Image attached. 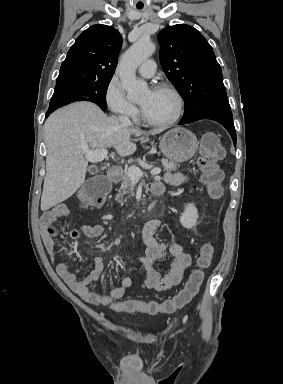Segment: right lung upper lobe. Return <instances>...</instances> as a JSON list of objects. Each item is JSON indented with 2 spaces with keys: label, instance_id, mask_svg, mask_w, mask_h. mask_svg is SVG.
<instances>
[{
  "label": "right lung upper lobe",
  "instance_id": "1",
  "mask_svg": "<svg viewBox=\"0 0 283 384\" xmlns=\"http://www.w3.org/2000/svg\"><path fill=\"white\" fill-rule=\"evenodd\" d=\"M122 44L113 27L97 24L83 31L63 61L56 86L111 80Z\"/></svg>",
  "mask_w": 283,
  "mask_h": 384
}]
</instances>
